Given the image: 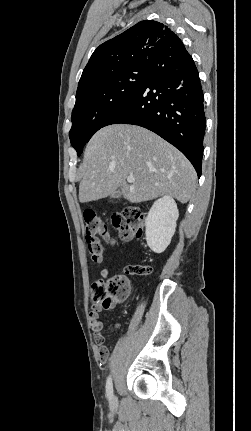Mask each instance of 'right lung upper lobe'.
Returning <instances> with one entry per match:
<instances>
[{"instance_id": "obj_1", "label": "right lung upper lobe", "mask_w": 251, "mask_h": 431, "mask_svg": "<svg viewBox=\"0 0 251 431\" xmlns=\"http://www.w3.org/2000/svg\"><path fill=\"white\" fill-rule=\"evenodd\" d=\"M183 47L178 36L164 24L141 21L97 47L83 70L76 93L127 69L147 67L157 56Z\"/></svg>"}]
</instances>
